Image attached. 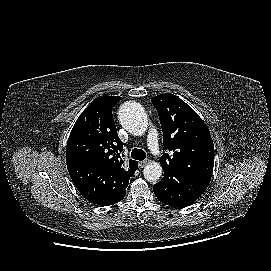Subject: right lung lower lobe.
<instances>
[{
	"label": "right lung lower lobe",
	"instance_id": "obj_1",
	"mask_svg": "<svg viewBox=\"0 0 271 271\" xmlns=\"http://www.w3.org/2000/svg\"><path fill=\"white\" fill-rule=\"evenodd\" d=\"M67 169L78 191L91 203L108 206L125 197L130 177L121 172L84 161L68 162Z\"/></svg>",
	"mask_w": 271,
	"mask_h": 271
}]
</instances>
